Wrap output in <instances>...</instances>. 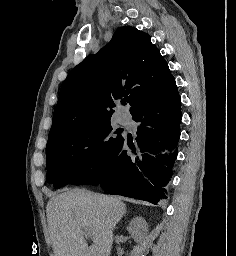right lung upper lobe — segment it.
I'll return each instance as SVG.
<instances>
[{
    "label": "right lung upper lobe",
    "instance_id": "right-lung-upper-lobe-1",
    "mask_svg": "<svg viewBox=\"0 0 236 256\" xmlns=\"http://www.w3.org/2000/svg\"><path fill=\"white\" fill-rule=\"evenodd\" d=\"M173 82L149 35L134 27H120L102 50L86 57L69 73L60 90L48 139L77 126L110 120L116 101L122 97L129 98L132 113Z\"/></svg>",
    "mask_w": 236,
    "mask_h": 256
}]
</instances>
